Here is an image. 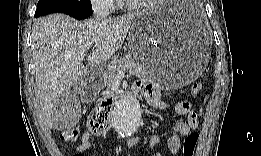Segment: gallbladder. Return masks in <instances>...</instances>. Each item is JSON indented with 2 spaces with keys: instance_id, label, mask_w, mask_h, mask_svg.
Returning <instances> with one entry per match:
<instances>
[{
  "instance_id": "bac80fb5",
  "label": "gallbladder",
  "mask_w": 261,
  "mask_h": 156,
  "mask_svg": "<svg viewBox=\"0 0 261 156\" xmlns=\"http://www.w3.org/2000/svg\"><path fill=\"white\" fill-rule=\"evenodd\" d=\"M62 95V98H59L61 101L54 105V107H57V110L52 114L54 118L53 127L59 130H66L71 129L80 120L82 107L76 93H64Z\"/></svg>"
}]
</instances>
